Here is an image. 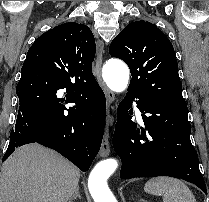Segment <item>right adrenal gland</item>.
I'll list each match as a JSON object with an SVG mask.
<instances>
[{
  "label": "right adrenal gland",
  "mask_w": 209,
  "mask_h": 202,
  "mask_svg": "<svg viewBox=\"0 0 209 202\" xmlns=\"http://www.w3.org/2000/svg\"><path fill=\"white\" fill-rule=\"evenodd\" d=\"M76 198L81 199L80 193H79V186L77 187L75 193L72 195V197L69 199V202H72Z\"/></svg>",
  "instance_id": "2a0ac1e0"
}]
</instances>
